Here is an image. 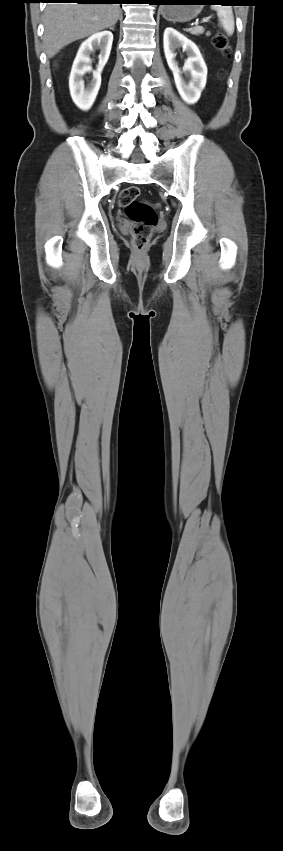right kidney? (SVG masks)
<instances>
[{
    "instance_id": "obj_1",
    "label": "right kidney",
    "mask_w": 283,
    "mask_h": 851,
    "mask_svg": "<svg viewBox=\"0 0 283 851\" xmlns=\"http://www.w3.org/2000/svg\"><path fill=\"white\" fill-rule=\"evenodd\" d=\"M113 42V34L110 31H102L93 34L80 46L73 62L69 77V89L73 102L81 110L87 111L93 105L101 85V72L108 61ZM94 49H100L99 63L93 71L91 82L85 87L83 76L92 71L89 65L90 54Z\"/></svg>"
}]
</instances>
